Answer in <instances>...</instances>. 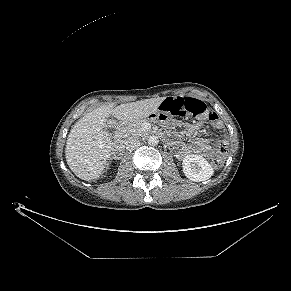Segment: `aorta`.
Here are the masks:
<instances>
[{"label":"aorta","instance_id":"aorta-1","mask_svg":"<svg viewBox=\"0 0 291 291\" xmlns=\"http://www.w3.org/2000/svg\"><path fill=\"white\" fill-rule=\"evenodd\" d=\"M159 143V139L157 136L152 135L148 138V144L150 146H156Z\"/></svg>","mask_w":291,"mask_h":291}]
</instances>
